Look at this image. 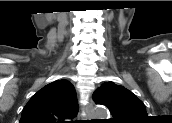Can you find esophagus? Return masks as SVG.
Listing matches in <instances>:
<instances>
[{
    "label": "esophagus",
    "instance_id": "obj_1",
    "mask_svg": "<svg viewBox=\"0 0 172 123\" xmlns=\"http://www.w3.org/2000/svg\"><path fill=\"white\" fill-rule=\"evenodd\" d=\"M92 106H93V104H92V100H91L90 103L84 107V109L87 113V118H89V119L92 118L91 113H90Z\"/></svg>",
    "mask_w": 172,
    "mask_h": 123
}]
</instances>
